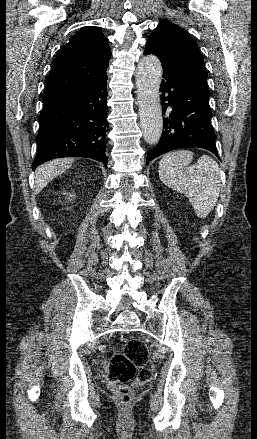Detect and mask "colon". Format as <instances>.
<instances>
[{"label": "colon", "instance_id": "1", "mask_svg": "<svg viewBox=\"0 0 257 439\" xmlns=\"http://www.w3.org/2000/svg\"><path fill=\"white\" fill-rule=\"evenodd\" d=\"M148 363V348L136 338L127 341L122 352L112 358L107 380L121 403L128 404L133 399L128 382L136 378L138 383H145L152 378L153 372Z\"/></svg>", "mask_w": 257, "mask_h": 439}]
</instances>
